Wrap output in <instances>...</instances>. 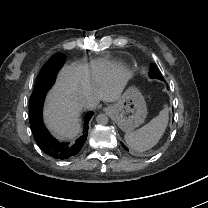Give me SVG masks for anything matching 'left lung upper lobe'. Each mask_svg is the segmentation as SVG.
Instances as JSON below:
<instances>
[{"label":"left lung upper lobe","mask_w":208,"mask_h":208,"mask_svg":"<svg viewBox=\"0 0 208 208\" xmlns=\"http://www.w3.org/2000/svg\"><path fill=\"white\" fill-rule=\"evenodd\" d=\"M149 76H150V78H156V79L163 80V77H162L160 71L158 70V68L156 67V65L154 63H152L150 66Z\"/></svg>","instance_id":"1"}]
</instances>
